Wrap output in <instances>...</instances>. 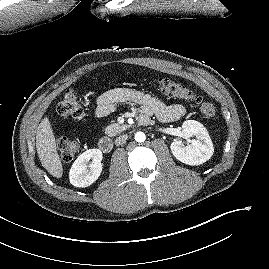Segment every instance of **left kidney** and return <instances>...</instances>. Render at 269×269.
I'll return each mask as SVG.
<instances>
[{"label":"left kidney","mask_w":269,"mask_h":269,"mask_svg":"<svg viewBox=\"0 0 269 269\" xmlns=\"http://www.w3.org/2000/svg\"><path fill=\"white\" fill-rule=\"evenodd\" d=\"M184 138L195 137L187 145L175 140L171 143L174 157L187 165H200L208 161L213 155V144L206 128L198 121L187 120L182 124Z\"/></svg>","instance_id":"left-kidney-1"}]
</instances>
